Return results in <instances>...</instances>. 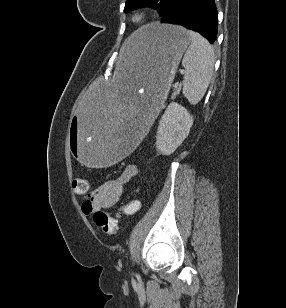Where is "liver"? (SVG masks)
<instances>
[{
    "instance_id": "obj_1",
    "label": "liver",
    "mask_w": 286,
    "mask_h": 308,
    "mask_svg": "<svg viewBox=\"0 0 286 308\" xmlns=\"http://www.w3.org/2000/svg\"><path fill=\"white\" fill-rule=\"evenodd\" d=\"M138 43V34L134 32L124 43L122 47V54L128 57L131 61L134 60L133 58V49L136 47Z\"/></svg>"
}]
</instances>
